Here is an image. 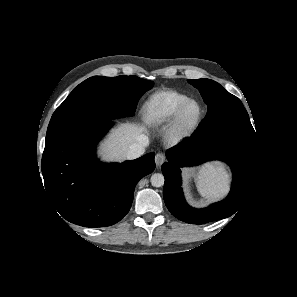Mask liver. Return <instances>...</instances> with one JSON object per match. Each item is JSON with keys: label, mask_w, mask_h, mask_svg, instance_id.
I'll return each instance as SVG.
<instances>
[{"label": "liver", "mask_w": 297, "mask_h": 297, "mask_svg": "<svg viewBox=\"0 0 297 297\" xmlns=\"http://www.w3.org/2000/svg\"><path fill=\"white\" fill-rule=\"evenodd\" d=\"M146 132L145 127L136 123H120L101 146V154L108 161H123L133 143L138 142L139 135Z\"/></svg>", "instance_id": "1"}]
</instances>
